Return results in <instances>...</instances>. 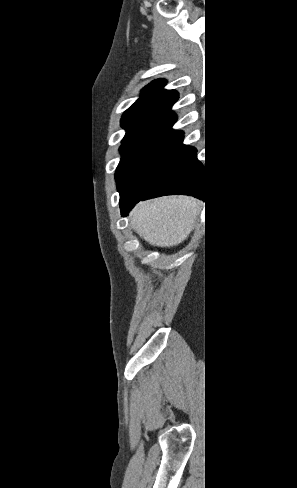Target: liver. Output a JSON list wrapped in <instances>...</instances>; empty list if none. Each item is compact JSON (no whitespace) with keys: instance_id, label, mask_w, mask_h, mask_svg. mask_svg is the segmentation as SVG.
I'll return each instance as SVG.
<instances>
[{"instance_id":"liver-1","label":"liver","mask_w":297,"mask_h":488,"mask_svg":"<svg viewBox=\"0 0 297 488\" xmlns=\"http://www.w3.org/2000/svg\"><path fill=\"white\" fill-rule=\"evenodd\" d=\"M203 203L188 196H164L138 204L130 213L132 228L149 244L176 246L195 226Z\"/></svg>"}]
</instances>
